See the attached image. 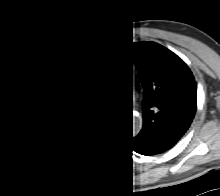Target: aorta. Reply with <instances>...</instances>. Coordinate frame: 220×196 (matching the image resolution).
Here are the masks:
<instances>
[{
  "label": "aorta",
  "instance_id": "obj_1",
  "mask_svg": "<svg viewBox=\"0 0 220 196\" xmlns=\"http://www.w3.org/2000/svg\"><path fill=\"white\" fill-rule=\"evenodd\" d=\"M142 126V120L141 118L137 115L133 117V133H137Z\"/></svg>",
  "mask_w": 220,
  "mask_h": 196
}]
</instances>
